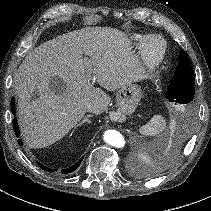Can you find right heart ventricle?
<instances>
[{"label": "right heart ventricle", "instance_id": "obj_1", "mask_svg": "<svg viewBox=\"0 0 211 211\" xmlns=\"http://www.w3.org/2000/svg\"><path fill=\"white\" fill-rule=\"evenodd\" d=\"M133 38H134L135 41L140 42V41H142L145 38V36H143V35H135Z\"/></svg>", "mask_w": 211, "mask_h": 211}]
</instances>
